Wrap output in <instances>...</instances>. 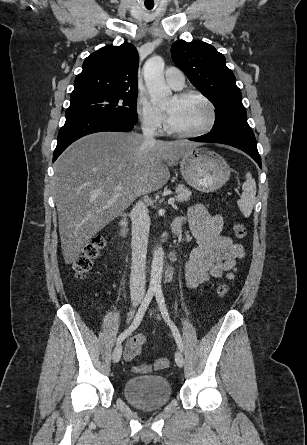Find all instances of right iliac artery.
I'll return each mask as SVG.
<instances>
[{"instance_id":"obj_1","label":"right iliac artery","mask_w":307,"mask_h":445,"mask_svg":"<svg viewBox=\"0 0 307 445\" xmlns=\"http://www.w3.org/2000/svg\"><path fill=\"white\" fill-rule=\"evenodd\" d=\"M154 290H148V292L146 293L135 317L134 320L132 322V324L124 331L122 332L118 339H117V344L121 343L126 337H128L141 323L143 316L154 296Z\"/></svg>"}]
</instances>
